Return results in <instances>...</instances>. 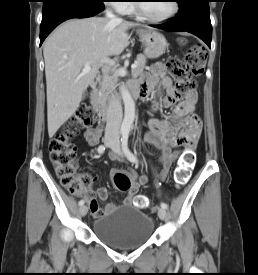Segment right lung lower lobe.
Masks as SVG:
<instances>
[{
	"label": "right lung lower lobe",
	"mask_w": 258,
	"mask_h": 275,
	"mask_svg": "<svg viewBox=\"0 0 258 275\" xmlns=\"http://www.w3.org/2000/svg\"><path fill=\"white\" fill-rule=\"evenodd\" d=\"M103 9V0H43L40 45L65 20L92 17Z\"/></svg>",
	"instance_id": "obj_1"
}]
</instances>
